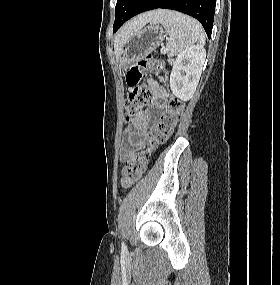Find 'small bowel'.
Here are the masks:
<instances>
[{
	"instance_id": "c3829d8e",
	"label": "small bowel",
	"mask_w": 280,
	"mask_h": 285,
	"mask_svg": "<svg viewBox=\"0 0 280 285\" xmlns=\"http://www.w3.org/2000/svg\"><path fill=\"white\" fill-rule=\"evenodd\" d=\"M152 97L153 107L157 110H162L166 103V90L164 86L157 81L149 82ZM149 112L147 110L139 111L130 121V126L127 129L120 153L121 160H127L134 149L142 144L143 137L148 130Z\"/></svg>"
}]
</instances>
